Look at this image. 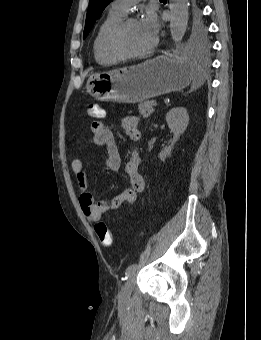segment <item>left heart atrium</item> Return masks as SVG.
<instances>
[{
    "instance_id": "1",
    "label": "left heart atrium",
    "mask_w": 261,
    "mask_h": 340,
    "mask_svg": "<svg viewBox=\"0 0 261 340\" xmlns=\"http://www.w3.org/2000/svg\"><path fill=\"white\" fill-rule=\"evenodd\" d=\"M140 23L146 32L155 37L158 32L159 22L154 13L148 12Z\"/></svg>"
}]
</instances>
